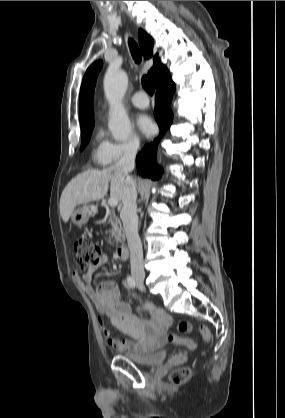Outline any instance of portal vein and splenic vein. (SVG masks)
<instances>
[{
  "mask_svg": "<svg viewBox=\"0 0 285 418\" xmlns=\"http://www.w3.org/2000/svg\"><path fill=\"white\" fill-rule=\"evenodd\" d=\"M108 204H109V206H110V207H115V206H117V205H118V200H117V199H115V198H110V199L108 200Z\"/></svg>",
  "mask_w": 285,
  "mask_h": 418,
  "instance_id": "portal-vein-and-splenic-vein-1",
  "label": "portal vein and splenic vein"
}]
</instances>
